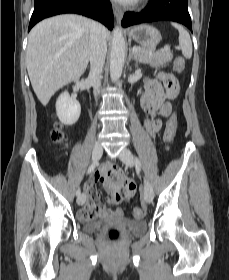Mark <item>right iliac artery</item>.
Wrapping results in <instances>:
<instances>
[{
	"mask_svg": "<svg viewBox=\"0 0 229 280\" xmlns=\"http://www.w3.org/2000/svg\"><path fill=\"white\" fill-rule=\"evenodd\" d=\"M96 166H97V161H96V162H93V163L90 165V167H89L88 170H87V174H92V173L94 172ZM76 195H77V197H79V196L81 195V189H80V188L77 189Z\"/></svg>",
	"mask_w": 229,
	"mask_h": 280,
	"instance_id": "right-iliac-artery-1",
	"label": "right iliac artery"
}]
</instances>
